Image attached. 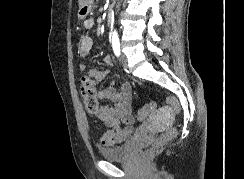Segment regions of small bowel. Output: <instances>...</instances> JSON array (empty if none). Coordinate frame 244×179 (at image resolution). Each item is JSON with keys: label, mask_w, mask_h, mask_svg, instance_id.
<instances>
[{"label": "small bowel", "mask_w": 244, "mask_h": 179, "mask_svg": "<svg viewBox=\"0 0 244 179\" xmlns=\"http://www.w3.org/2000/svg\"><path fill=\"white\" fill-rule=\"evenodd\" d=\"M93 26L94 20L92 17L84 20L83 27L86 31L91 30ZM92 48L93 41L91 37L89 35H82L77 44L78 56L80 58L88 57L92 52ZM104 64L112 66V58L106 56ZM79 69L85 71L86 65L80 63ZM88 74L96 80H103L108 75L106 71L95 68L89 70ZM131 91L132 85L130 83L123 84L121 89L117 90L114 87V83L111 82L107 88L98 93L99 106L96 113L98 118L109 127V130L104 132L101 137L103 144L112 146L122 143L131 134L135 122L131 112ZM105 100H109L113 104H103Z\"/></svg>", "instance_id": "c3829d8e"}]
</instances>
